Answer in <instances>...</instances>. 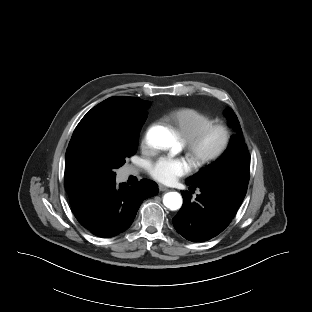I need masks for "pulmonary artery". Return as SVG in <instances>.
I'll return each mask as SVG.
<instances>
[{"label": "pulmonary artery", "instance_id": "obj_1", "mask_svg": "<svg viewBox=\"0 0 312 312\" xmlns=\"http://www.w3.org/2000/svg\"><path fill=\"white\" fill-rule=\"evenodd\" d=\"M129 173H130V174H134V173H135V170H134V169H131V170H129Z\"/></svg>", "mask_w": 312, "mask_h": 312}]
</instances>
